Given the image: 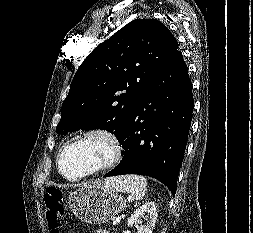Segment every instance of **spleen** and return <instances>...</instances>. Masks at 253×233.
Segmentation results:
<instances>
[{
    "mask_svg": "<svg viewBox=\"0 0 253 233\" xmlns=\"http://www.w3.org/2000/svg\"><path fill=\"white\" fill-rule=\"evenodd\" d=\"M105 187L118 192L129 194L135 200H141L147 189L146 179L139 175H124L107 180Z\"/></svg>",
    "mask_w": 253,
    "mask_h": 233,
    "instance_id": "3e777b00",
    "label": "spleen"
}]
</instances>
